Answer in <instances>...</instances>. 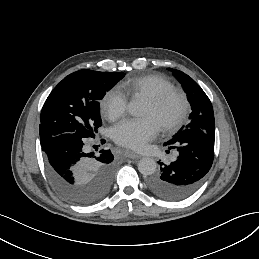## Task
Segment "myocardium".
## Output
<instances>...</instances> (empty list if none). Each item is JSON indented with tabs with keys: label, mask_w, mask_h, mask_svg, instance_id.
I'll list each match as a JSON object with an SVG mask.
<instances>
[{
	"label": "myocardium",
	"mask_w": 259,
	"mask_h": 259,
	"mask_svg": "<svg viewBox=\"0 0 259 259\" xmlns=\"http://www.w3.org/2000/svg\"><path fill=\"white\" fill-rule=\"evenodd\" d=\"M149 102L155 109L158 117L161 116L163 110L170 104H177V113L172 120H159V124L164 131L174 133L184 124L189 111V100L183 91L173 89L159 96L150 97Z\"/></svg>",
	"instance_id": "1"
}]
</instances>
